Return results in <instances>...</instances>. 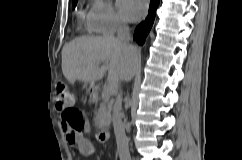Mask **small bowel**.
Wrapping results in <instances>:
<instances>
[{"label":"small bowel","mask_w":242,"mask_h":160,"mask_svg":"<svg viewBox=\"0 0 242 160\" xmlns=\"http://www.w3.org/2000/svg\"><path fill=\"white\" fill-rule=\"evenodd\" d=\"M61 122L67 143L72 146H77L82 154H91L93 152V146L90 141L84 137L82 131H73L63 119H61Z\"/></svg>","instance_id":"obj_1"}]
</instances>
